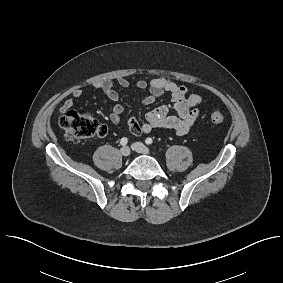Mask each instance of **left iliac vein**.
I'll return each instance as SVG.
<instances>
[{
	"label": "left iliac vein",
	"instance_id": "obj_1",
	"mask_svg": "<svg viewBox=\"0 0 283 283\" xmlns=\"http://www.w3.org/2000/svg\"><path fill=\"white\" fill-rule=\"evenodd\" d=\"M133 149L141 154L148 155L149 154V149L142 143L136 142L132 145Z\"/></svg>",
	"mask_w": 283,
	"mask_h": 283
}]
</instances>
